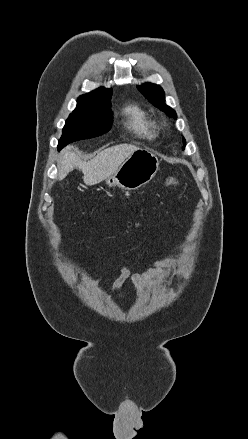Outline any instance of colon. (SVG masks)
Returning <instances> with one entry per match:
<instances>
[{
  "mask_svg": "<svg viewBox=\"0 0 248 439\" xmlns=\"http://www.w3.org/2000/svg\"><path fill=\"white\" fill-rule=\"evenodd\" d=\"M167 185L170 187H176L178 185V178L176 176H171L167 180Z\"/></svg>",
  "mask_w": 248,
  "mask_h": 439,
  "instance_id": "obj_1",
  "label": "colon"
}]
</instances>
